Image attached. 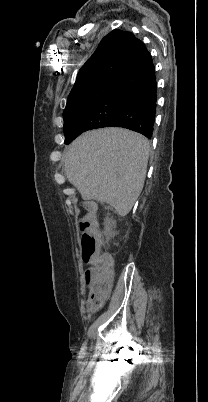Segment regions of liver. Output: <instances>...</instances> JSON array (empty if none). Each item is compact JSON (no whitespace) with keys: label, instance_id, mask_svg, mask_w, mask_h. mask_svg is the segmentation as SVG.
<instances>
[{"label":"liver","instance_id":"1","mask_svg":"<svg viewBox=\"0 0 208 402\" xmlns=\"http://www.w3.org/2000/svg\"><path fill=\"white\" fill-rule=\"evenodd\" d=\"M149 152L148 140L136 132L92 130L67 146L63 154L65 176L83 200L106 202L122 218L143 190Z\"/></svg>","mask_w":208,"mask_h":402}]
</instances>
